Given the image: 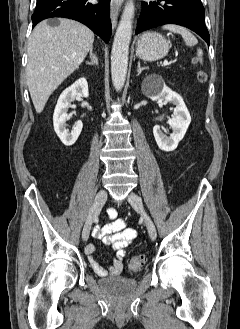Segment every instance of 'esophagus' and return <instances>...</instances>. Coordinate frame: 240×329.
I'll return each mask as SVG.
<instances>
[{"mask_svg": "<svg viewBox=\"0 0 240 329\" xmlns=\"http://www.w3.org/2000/svg\"><path fill=\"white\" fill-rule=\"evenodd\" d=\"M119 11H120V3L118 0H111V5H110V18H111V23L113 29L117 25V20L119 16Z\"/></svg>", "mask_w": 240, "mask_h": 329, "instance_id": "esophagus-1", "label": "esophagus"}]
</instances>
